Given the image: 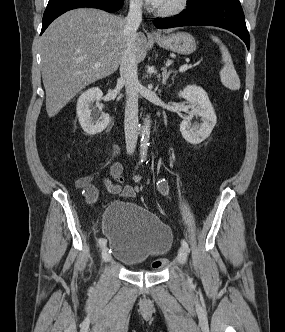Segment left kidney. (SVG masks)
Listing matches in <instances>:
<instances>
[{"mask_svg": "<svg viewBox=\"0 0 285 332\" xmlns=\"http://www.w3.org/2000/svg\"><path fill=\"white\" fill-rule=\"evenodd\" d=\"M179 97L186 99L192 105L189 116L180 124L183 138L190 144L197 145L208 138L217 122L214 108L205 90L196 85H188L179 92ZM193 115L202 117L203 123L191 127Z\"/></svg>", "mask_w": 285, "mask_h": 332, "instance_id": "1", "label": "left kidney"}]
</instances>
